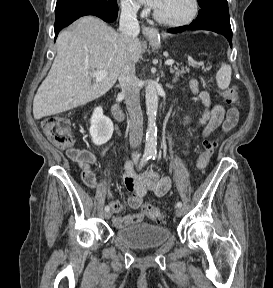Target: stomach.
<instances>
[{
    "mask_svg": "<svg viewBox=\"0 0 273 288\" xmlns=\"http://www.w3.org/2000/svg\"><path fill=\"white\" fill-rule=\"evenodd\" d=\"M151 45H152V47L158 49V48L160 47V41H159V39L156 40V41H154V42H151Z\"/></svg>",
    "mask_w": 273,
    "mask_h": 288,
    "instance_id": "0dacf381",
    "label": "stomach"
}]
</instances>
